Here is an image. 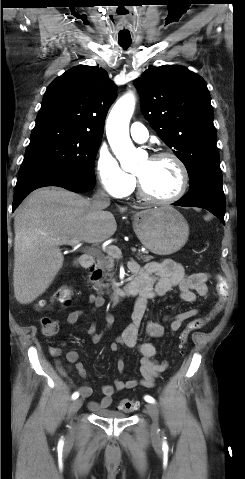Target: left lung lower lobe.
Wrapping results in <instances>:
<instances>
[{
    "instance_id": "1",
    "label": "left lung lower lobe",
    "mask_w": 245,
    "mask_h": 479,
    "mask_svg": "<svg viewBox=\"0 0 245 479\" xmlns=\"http://www.w3.org/2000/svg\"><path fill=\"white\" fill-rule=\"evenodd\" d=\"M173 205L204 208L217 216L223 224L225 214V196L222 187V173L216 171L198 179L188 194Z\"/></svg>"
}]
</instances>
